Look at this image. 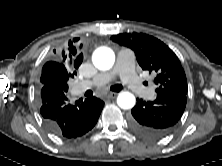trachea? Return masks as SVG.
I'll list each match as a JSON object with an SVG mask.
<instances>
[{
  "label": "trachea",
  "mask_w": 222,
  "mask_h": 166,
  "mask_svg": "<svg viewBox=\"0 0 222 166\" xmlns=\"http://www.w3.org/2000/svg\"><path fill=\"white\" fill-rule=\"evenodd\" d=\"M122 89H123V86L120 85V84L113 85V86H111V88H110V90H111V91H114V92H119V91L122 90ZM87 94H88V96H89V95H92V92H91V91H88Z\"/></svg>",
  "instance_id": "trachea-1"
}]
</instances>
